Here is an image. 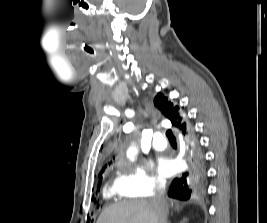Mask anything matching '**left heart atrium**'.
<instances>
[{"mask_svg":"<svg viewBox=\"0 0 267 223\" xmlns=\"http://www.w3.org/2000/svg\"><path fill=\"white\" fill-rule=\"evenodd\" d=\"M158 171L164 177H169L177 171L176 162L172 158H162L158 162Z\"/></svg>","mask_w":267,"mask_h":223,"instance_id":"left-heart-atrium-1","label":"left heart atrium"}]
</instances>
